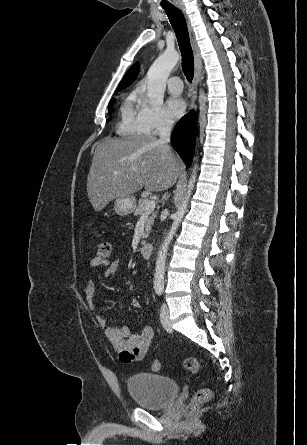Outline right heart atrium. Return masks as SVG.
<instances>
[{"label": "right heart atrium", "instance_id": "right-heart-atrium-1", "mask_svg": "<svg viewBox=\"0 0 307 445\" xmlns=\"http://www.w3.org/2000/svg\"><path fill=\"white\" fill-rule=\"evenodd\" d=\"M144 107L140 114L141 125L144 130L152 135H159L169 130L173 125V119L166 110L157 104H154L142 93Z\"/></svg>", "mask_w": 307, "mask_h": 445}]
</instances>
